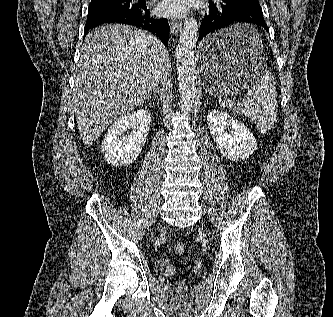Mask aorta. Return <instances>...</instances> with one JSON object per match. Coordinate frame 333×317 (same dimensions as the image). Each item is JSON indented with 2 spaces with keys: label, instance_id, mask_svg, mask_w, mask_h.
Masks as SVG:
<instances>
[{
  "label": "aorta",
  "instance_id": "1",
  "mask_svg": "<svg viewBox=\"0 0 333 317\" xmlns=\"http://www.w3.org/2000/svg\"><path fill=\"white\" fill-rule=\"evenodd\" d=\"M198 23L194 18L185 21L176 48V66L181 109L189 112L197 98V75L194 61L196 42L198 39Z\"/></svg>",
  "mask_w": 333,
  "mask_h": 317
}]
</instances>
